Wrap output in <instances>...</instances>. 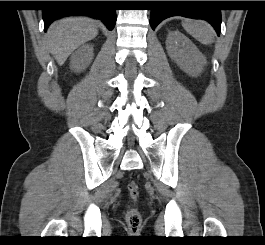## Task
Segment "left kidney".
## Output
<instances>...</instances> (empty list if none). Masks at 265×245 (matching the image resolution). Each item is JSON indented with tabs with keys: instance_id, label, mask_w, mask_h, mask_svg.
<instances>
[{
	"instance_id": "5707ae66",
	"label": "left kidney",
	"mask_w": 265,
	"mask_h": 245,
	"mask_svg": "<svg viewBox=\"0 0 265 245\" xmlns=\"http://www.w3.org/2000/svg\"><path fill=\"white\" fill-rule=\"evenodd\" d=\"M168 55L187 74L198 76L207 61L193 42L179 31H171L166 40Z\"/></svg>"
}]
</instances>
